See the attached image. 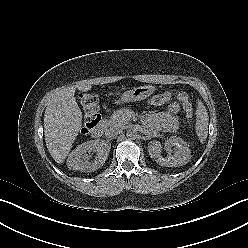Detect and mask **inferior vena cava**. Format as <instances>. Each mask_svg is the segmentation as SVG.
<instances>
[{"instance_id": "inferior-vena-cava-1", "label": "inferior vena cava", "mask_w": 248, "mask_h": 248, "mask_svg": "<svg viewBox=\"0 0 248 248\" xmlns=\"http://www.w3.org/2000/svg\"><path fill=\"white\" fill-rule=\"evenodd\" d=\"M122 132V128L119 127H112L107 131V136L109 137H113L116 136L118 134H120Z\"/></svg>"}]
</instances>
